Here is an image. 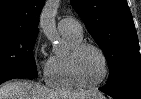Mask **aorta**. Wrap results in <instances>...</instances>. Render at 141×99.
Here are the masks:
<instances>
[{
    "instance_id": "762f6f07",
    "label": "aorta",
    "mask_w": 141,
    "mask_h": 99,
    "mask_svg": "<svg viewBox=\"0 0 141 99\" xmlns=\"http://www.w3.org/2000/svg\"><path fill=\"white\" fill-rule=\"evenodd\" d=\"M59 2L58 0H49L45 3V6L40 15V28L43 34L51 42L58 39L56 32L55 17L58 11Z\"/></svg>"
}]
</instances>
